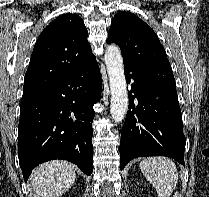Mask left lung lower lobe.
Masks as SVG:
<instances>
[{"mask_svg": "<svg viewBox=\"0 0 209 197\" xmlns=\"http://www.w3.org/2000/svg\"><path fill=\"white\" fill-rule=\"evenodd\" d=\"M124 72L133 85L121 131L120 168L144 156H167L184 165L186 138L175 79L145 73L125 63Z\"/></svg>", "mask_w": 209, "mask_h": 197, "instance_id": "1", "label": "left lung lower lobe"}]
</instances>
